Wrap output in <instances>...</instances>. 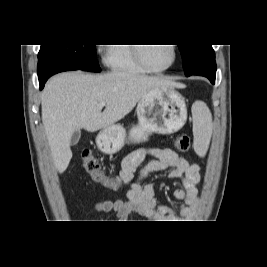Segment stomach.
I'll return each instance as SVG.
<instances>
[{"label":"stomach","mask_w":267,"mask_h":267,"mask_svg":"<svg viewBox=\"0 0 267 267\" xmlns=\"http://www.w3.org/2000/svg\"><path fill=\"white\" fill-rule=\"evenodd\" d=\"M138 125L128 135L133 143L147 141L149 135L172 134L180 130L187 120V108L183 96L174 87L148 91L138 102ZM127 141L123 126L114 124L104 128L96 137L99 150L105 154L120 151Z\"/></svg>","instance_id":"0dacf381"}]
</instances>
